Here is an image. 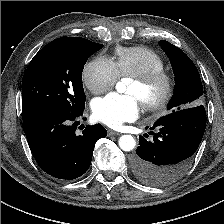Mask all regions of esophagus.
<instances>
[{
    "mask_svg": "<svg viewBox=\"0 0 224 224\" xmlns=\"http://www.w3.org/2000/svg\"><path fill=\"white\" fill-rule=\"evenodd\" d=\"M117 135H120V133L113 130H108V136H117Z\"/></svg>",
    "mask_w": 224,
    "mask_h": 224,
    "instance_id": "esophagus-1",
    "label": "esophagus"
}]
</instances>
